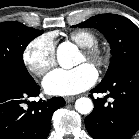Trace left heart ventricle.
<instances>
[{
  "label": "left heart ventricle",
  "instance_id": "obj_1",
  "mask_svg": "<svg viewBox=\"0 0 139 139\" xmlns=\"http://www.w3.org/2000/svg\"><path fill=\"white\" fill-rule=\"evenodd\" d=\"M85 62H87L86 57H85V55L83 53H81V55H80V57H79V59L77 61V65H81V64H83Z\"/></svg>",
  "mask_w": 139,
  "mask_h": 139
}]
</instances>
